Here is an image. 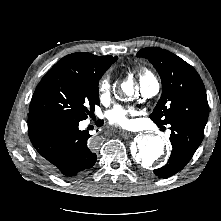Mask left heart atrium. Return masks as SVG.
I'll use <instances>...</instances> for the list:
<instances>
[{
	"label": "left heart atrium",
	"instance_id": "obj_1",
	"mask_svg": "<svg viewBox=\"0 0 221 221\" xmlns=\"http://www.w3.org/2000/svg\"><path fill=\"white\" fill-rule=\"evenodd\" d=\"M134 114V108L117 105L108 112L107 118L111 125L127 128L131 125V120L129 117Z\"/></svg>",
	"mask_w": 221,
	"mask_h": 221
}]
</instances>
